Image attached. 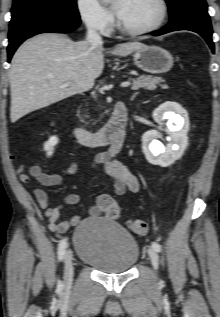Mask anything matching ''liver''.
Masks as SVG:
<instances>
[{
  "mask_svg": "<svg viewBox=\"0 0 220 317\" xmlns=\"http://www.w3.org/2000/svg\"><path fill=\"white\" fill-rule=\"evenodd\" d=\"M140 42L119 44L110 52L127 56L144 47ZM105 49L65 35L44 33L25 41L15 52L9 72L14 123L35 110L90 89L104 68ZM68 82L69 86L62 87Z\"/></svg>",
  "mask_w": 220,
  "mask_h": 317,
  "instance_id": "liver-1",
  "label": "liver"
}]
</instances>
